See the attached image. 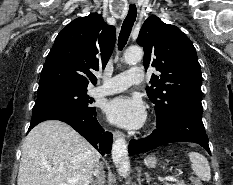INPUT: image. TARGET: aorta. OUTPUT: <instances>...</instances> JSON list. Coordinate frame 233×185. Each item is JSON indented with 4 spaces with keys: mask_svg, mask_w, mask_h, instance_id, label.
Listing matches in <instances>:
<instances>
[{
    "mask_svg": "<svg viewBox=\"0 0 233 185\" xmlns=\"http://www.w3.org/2000/svg\"><path fill=\"white\" fill-rule=\"evenodd\" d=\"M143 58V50L140 47H129L124 53V60L128 64H136ZM112 159L119 172L123 177L130 174V162L128 157L127 143L124 138H118L112 146Z\"/></svg>",
    "mask_w": 233,
    "mask_h": 185,
    "instance_id": "762f6f07",
    "label": "aorta"
}]
</instances>
